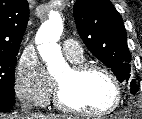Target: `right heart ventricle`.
<instances>
[{
    "mask_svg": "<svg viewBox=\"0 0 142 119\" xmlns=\"http://www.w3.org/2000/svg\"><path fill=\"white\" fill-rule=\"evenodd\" d=\"M71 60V62H73V63H81V62H83V57L81 56L80 58H77V59H70Z\"/></svg>",
    "mask_w": 142,
    "mask_h": 119,
    "instance_id": "e07e8e85",
    "label": "right heart ventricle"
}]
</instances>
